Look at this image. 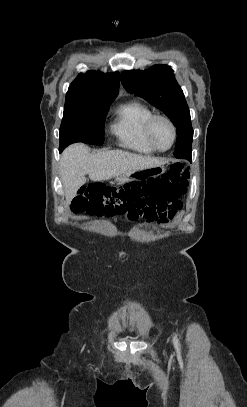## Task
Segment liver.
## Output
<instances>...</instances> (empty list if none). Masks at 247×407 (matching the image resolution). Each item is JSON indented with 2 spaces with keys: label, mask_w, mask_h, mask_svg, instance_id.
I'll use <instances>...</instances> for the list:
<instances>
[{
  "label": "liver",
  "mask_w": 247,
  "mask_h": 407,
  "mask_svg": "<svg viewBox=\"0 0 247 407\" xmlns=\"http://www.w3.org/2000/svg\"><path fill=\"white\" fill-rule=\"evenodd\" d=\"M167 162L166 159L129 153L121 150L91 153L84 144H73L61 156V177L67 203L76 196L77 190L86 182L88 174L92 181H103Z\"/></svg>",
  "instance_id": "liver-1"
}]
</instances>
